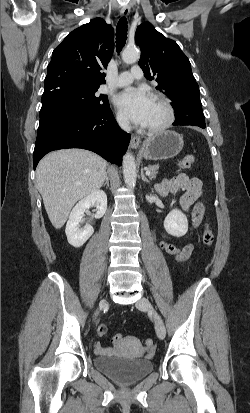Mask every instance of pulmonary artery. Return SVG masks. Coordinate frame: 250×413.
<instances>
[{"label": "pulmonary artery", "instance_id": "e3ab8cb5", "mask_svg": "<svg viewBox=\"0 0 250 413\" xmlns=\"http://www.w3.org/2000/svg\"><path fill=\"white\" fill-rule=\"evenodd\" d=\"M142 77V70L139 66H133L130 71L121 73L117 80L116 85L118 87H124L131 84L135 79Z\"/></svg>", "mask_w": 250, "mask_h": 413}]
</instances>
